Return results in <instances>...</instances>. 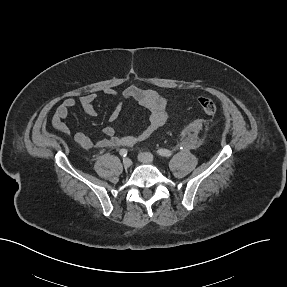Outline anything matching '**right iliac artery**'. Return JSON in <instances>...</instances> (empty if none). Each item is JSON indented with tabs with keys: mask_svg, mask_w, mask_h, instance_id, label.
Masks as SVG:
<instances>
[{
	"mask_svg": "<svg viewBox=\"0 0 287 287\" xmlns=\"http://www.w3.org/2000/svg\"><path fill=\"white\" fill-rule=\"evenodd\" d=\"M127 153H128V151H127L126 149H121L120 152H119V154H120L122 157L127 156Z\"/></svg>",
	"mask_w": 287,
	"mask_h": 287,
	"instance_id": "right-iliac-artery-1",
	"label": "right iliac artery"
}]
</instances>
